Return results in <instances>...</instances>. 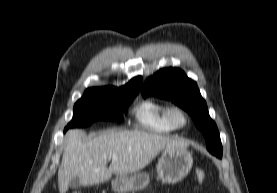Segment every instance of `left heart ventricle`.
<instances>
[{"instance_id":"b2bd125f","label":"left heart ventricle","mask_w":277,"mask_h":193,"mask_svg":"<svg viewBox=\"0 0 277 193\" xmlns=\"http://www.w3.org/2000/svg\"><path fill=\"white\" fill-rule=\"evenodd\" d=\"M177 120H178L179 122H182V118H181L180 116H177Z\"/></svg>"}]
</instances>
